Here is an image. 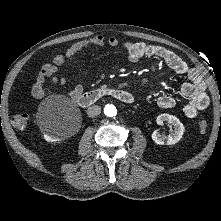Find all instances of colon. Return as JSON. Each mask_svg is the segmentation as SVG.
I'll list each match as a JSON object with an SVG mask.
<instances>
[{
	"label": "colon",
	"instance_id": "1",
	"mask_svg": "<svg viewBox=\"0 0 221 221\" xmlns=\"http://www.w3.org/2000/svg\"><path fill=\"white\" fill-rule=\"evenodd\" d=\"M27 115L26 114H17L13 117V124L16 128L18 129H23L25 128L26 124H27ZM198 130L201 134H205L208 132L209 130V125L207 123V121L202 120L198 123Z\"/></svg>",
	"mask_w": 221,
	"mask_h": 221
}]
</instances>
